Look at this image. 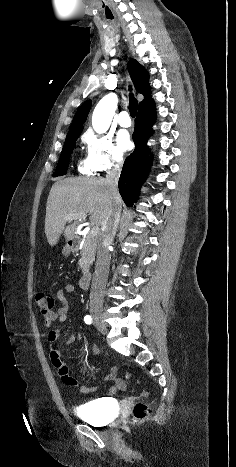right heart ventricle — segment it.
Wrapping results in <instances>:
<instances>
[{
	"label": "right heart ventricle",
	"instance_id": "1",
	"mask_svg": "<svg viewBox=\"0 0 236 467\" xmlns=\"http://www.w3.org/2000/svg\"><path fill=\"white\" fill-rule=\"evenodd\" d=\"M79 170L84 174H88L90 171H92L88 169L86 165L80 166Z\"/></svg>",
	"mask_w": 236,
	"mask_h": 467
}]
</instances>
